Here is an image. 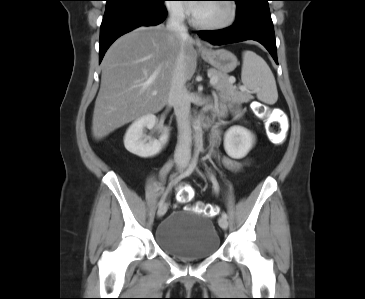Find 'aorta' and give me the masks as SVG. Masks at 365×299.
<instances>
[{"label": "aorta", "mask_w": 365, "mask_h": 299, "mask_svg": "<svg viewBox=\"0 0 365 299\" xmlns=\"http://www.w3.org/2000/svg\"><path fill=\"white\" fill-rule=\"evenodd\" d=\"M194 140H195V144L196 146H200L202 143V133H201V126H200V122L198 120L194 121Z\"/></svg>", "instance_id": "1"}]
</instances>
